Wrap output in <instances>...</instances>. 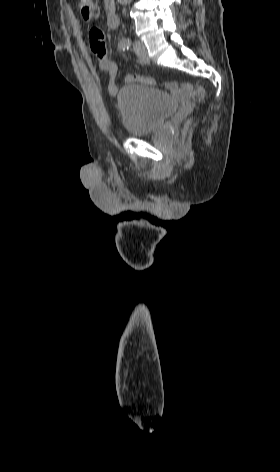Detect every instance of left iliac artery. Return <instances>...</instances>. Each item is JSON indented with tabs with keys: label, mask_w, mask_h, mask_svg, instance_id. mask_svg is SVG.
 Instances as JSON below:
<instances>
[{
	"label": "left iliac artery",
	"mask_w": 280,
	"mask_h": 472,
	"mask_svg": "<svg viewBox=\"0 0 280 472\" xmlns=\"http://www.w3.org/2000/svg\"><path fill=\"white\" fill-rule=\"evenodd\" d=\"M130 45H131V39L130 38H122L118 43L119 49H121L123 51L128 50Z\"/></svg>",
	"instance_id": "obj_1"
}]
</instances>
